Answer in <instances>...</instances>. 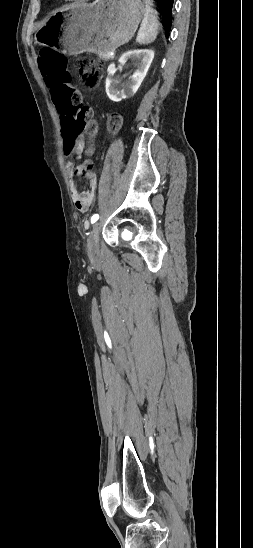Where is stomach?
<instances>
[{"label": "stomach", "mask_w": 253, "mask_h": 548, "mask_svg": "<svg viewBox=\"0 0 253 548\" xmlns=\"http://www.w3.org/2000/svg\"><path fill=\"white\" fill-rule=\"evenodd\" d=\"M143 14L141 0L74 4L54 13L36 33L35 41L57 46L67 55L111 53L133 37Z\"/></svg>", "instance_id": "stomach-1"}]
</instances>
